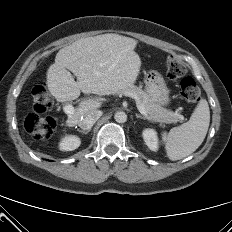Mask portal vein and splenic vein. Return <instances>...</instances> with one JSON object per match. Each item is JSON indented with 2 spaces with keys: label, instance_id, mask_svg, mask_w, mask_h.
<instances>
[{
  "label": "portal vein and splenic vein",
  "instance_id": "18ae733b",
  "mask_svg": "<svg viewBox=\"0 0 232 232\" xmlns=\"http://www.w3.org/2000/svg\"><path fill=\"white\" fill-rule=\"evenodd\" d=\"M127 96H131L132 98H134L136 101V106H137V109L139 110V112L142 115H144L148 120H151V118L148 117V114H147L144 106L140 103L139 98L133 94H128ZM63 110L66 114H72L74 112V107L72 105L68 104V105L64 106ZM180 118L183 119V116H180Z\"/></svg>",
  "mask_w": 232,
  "mask_h": 232
}]
</instances>
